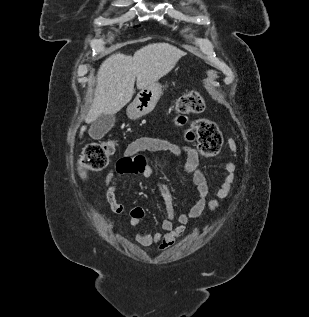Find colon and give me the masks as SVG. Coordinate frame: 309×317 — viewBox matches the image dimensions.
<instances>
[{"label":"colon","mask_w":309,"mask_h":317,"mask_svg":"<svg viewBox=\"0 0 309 317\" xmlns=\"http://www.w3.org/2000/svg\"><path fill=\"white\" fill-rule=\"evenodd\" d=\"M206 106L204 98L196 92L182 94L176 102V110L180 114H198L204 111ZM197 136V148L204 157H212L218 154L222 146V134L213 121L201 118L193 124ZM115 149L112 140L91 142L84 148L79 159L81 174L86 171H101L108 164L110 156Z\"/></svg>","instance_id":"colon-1"}]
</instances>
